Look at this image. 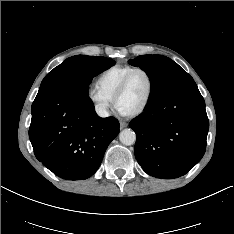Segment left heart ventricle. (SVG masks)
Wrapping results in <instances>:
<instances>
[{
  "mask_svg": "<svg viewBox=\"0 0 234 234\" xmlns=\"http://www.w3.org/2000/svg\"><path fill=\"white\" fill-rule=\"evenodd\" d=\"M149 88L148 77L143 72H136L130 78L126 91L119 98L117 107L123 113L139 108L144 102Z\"/></svg>",
  "mask_w": 234,
  "mask_h": 234,
  "instance_id": "1",
  "label": "left heart ventricle"
}]
</instances>
